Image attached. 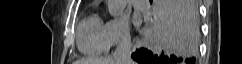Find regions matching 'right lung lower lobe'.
I'll use <instances>...</instances> for the list:
<instances>
[{"label": "right lung lower lobe", "instance_id": "98d812e1", "mask_svg": "<svg viewBox=\"0 0 242 64\" xmlns=\"http://www.w3.org/2000/svg\"><path fill=\"white\" fill-rule=\"evenodd\" d=\"M159 46L140 48L132 58L140 64H194L199 40L196 0H156Z\"/></svg>", "mask_w": 242, "mask_h": 64}]
</instances>
